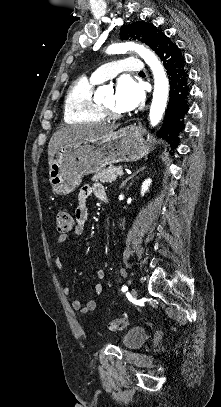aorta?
<instances>
[{"label":"aorta","instance_id":"aorta-1","mask_svg":"<svg viewBox=\"0 0 221 407\" xmlns=\"http://www.w3.org/2000/svg\"><path fill=\"white\" fill-rule=\"evenodd\" d=\"M128 50H134L149 65L153 73L154 92L149 112V119L150 124L152 126H156L162 119L166 108L169 94L168 78L157 56L143 45L133 42L113 44L107 49V53L120 54L125 53ZM107 91L108 88L106 86L98 87L95 92V98H103Z\"/></svg>","mask_w":221,"mask_h":407}]
</instances>
